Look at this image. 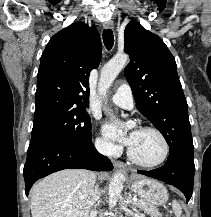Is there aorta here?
Instances as JSON below:
<instances>
[{
    "label": "aorta",
    "instance_id": "obj_1",
    "mask_svg": "<svg viewBox=\"0 0 211 217\" xmlns=\"http://www.w3.org/2000/svg\"><path fill=\"white\" fill-rule=\"evenodd\" d=\"M129 57L126 54L116 55L111 59L101 70L98 91L100 95L105 96L107 90L120 73V71L128 63ZM123 179L122 173L117 172L114 174L109 185V207L114 208L121 196V191L123 189Z\"/></svg>",
    "mask_w": 211,
    "mask_h": 217
}]
</instances>
